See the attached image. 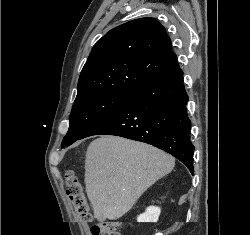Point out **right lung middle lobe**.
Masks as SVG:
<instances>
[{
  "mask_svg": "<svg viewBox=\"0 0 250 235\" xmlns=\"http://www.w3.org/2000/svg\"><path fill=\"white\" fill-rule=\"evenodd\" d=\"M133 93L96 92L75 99L69 130L62 141L67 147L79 140L88 130L119 109Z\"/></svg>",
  "mask_w": 250,
  "mask_h": 235,
  "instance_id": "obj_1",
  "label": "right lung middle lobe"
}]
</instances>
